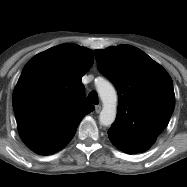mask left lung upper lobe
Here are the masks:
<instances>
[{
    "label": "left lung upper lobe",
    "instance_id": "left-lung-upper-lobe-1",
    "mask_svg": "<svg viewBox=\"0 0 187 187\" xmlns=\"http://www.w3.org/2000/svg\"><path fill=\"white\" fill-rule=\"evenodd\" d=\"M99 71L115 85L118 111L108 130L141 135L156 141L175 106L173 82L167 71L138 48L120 45L95 50ZM141 144L143 139L132 136Z\"/></svg>",
    "mask_w": 187,
    "mask_h": 187
}]
</instances>
